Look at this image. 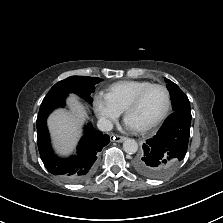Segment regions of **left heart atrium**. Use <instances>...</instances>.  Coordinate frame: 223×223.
<instances>
[{
  "label": "left heart atrium",
  "instance_id": "1",
  "mask_svg": "<svg viewBox=\"0 0 223 223\" xmlns=\"http://www.w3.org/2000/svg\"><path fill=\"white\" fill-rule=\"evenodd\" d=\"M125 127L128 129H134V127L131 125V123L127 119L125 120Z\"/></svg>",
  "mask_w": 223,
  "mask_h": 223
}]
</instances>
